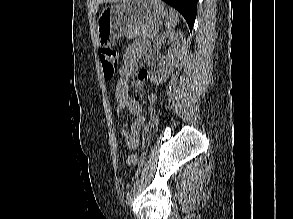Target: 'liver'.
Masks as SVG:
<instances>
[{
	"mask_svg": "<svg viewBox=\"0 0 293 219\" xmlns=\"http://www.w3.org/2000/svg\"><path fill=\"white\" fill-rule=\"evenodd\" d=\"M123 0H93L92 5H93V12L96 13L98 10V6L101 3H115V2H121Z\"/></svg>",
	"mask_w": 293,
	"mask_h": 219,
	"instance_id": "obj_1",
	"label": "liver"
}]
</instances>
